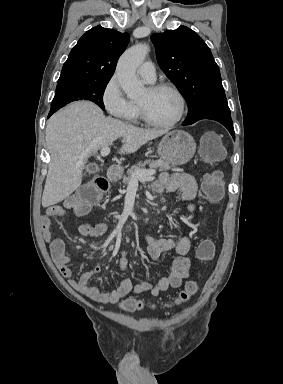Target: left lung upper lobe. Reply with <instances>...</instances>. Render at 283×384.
<instances>
[{
	"mask_svg": "<svg viewBox=\"0 0 283 384\" xmlns=\"http://www.w3.org/2000/svg\"><path fill=\"white\" fill-rule=\"evenodd\" d=\"M158 63L188 103L183 123L230 116L220 70L209 47L186 26L151 36Z\"/></svg>",
	"mask_w": 283,
	"mask_h": 384,
	"instance_id": "5c2ea615",
	"label": "left lung upper lobe"
}]
</instances>
